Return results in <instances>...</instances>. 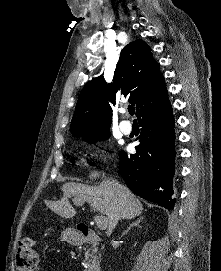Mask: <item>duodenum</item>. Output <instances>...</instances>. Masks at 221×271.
Listing matches in <instances>:
<instances>
[{
  "label": "duodenum",
  "mask_w": 221,
  "mask_h": 271,
  "mask_svg": "<svg viewBox=\"0 0 221 271\" xmlns=\"http://www.w3.org/2000/svg\"><path fill=\"white\" fill-rule=\"evenodd\" d=\"M70 242L75 245H83L87 243L98 244L100 239L94 231L82 229L70 238ZM85 271H101V267L99 264L94 263L89 265Z\"/></svg>",
  "instance_id": "410a0bca"
}]
</instances>
